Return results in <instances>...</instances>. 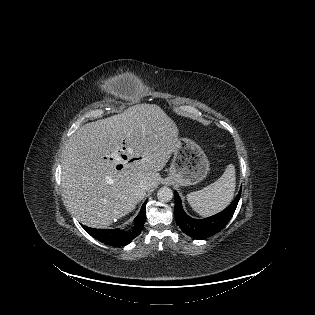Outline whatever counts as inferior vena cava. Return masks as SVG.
I'll list each match as a JSON object with an SVG mask.
<instances>
[{
    "mask_svg": "<svg viewBox=\"0 0 315 315\" xmlns=\"http://www.w3.org/2000/svg\"><path fill=\"white\" fill-rule=\"evenodd\" d=\"M149 187L147 182L141 181L140 184L137 186L136 195L144 196L148 191Z\"/></svg>",
    "mask_w": 315,
    "mask_h": 315,
    "instance_id": "obj_1",
    "label": "inferior vena cava"
}]
</instances>
